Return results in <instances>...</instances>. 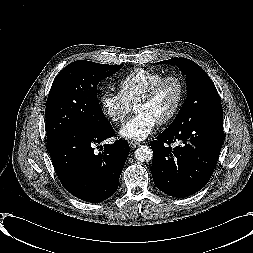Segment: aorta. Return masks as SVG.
<instances>
[{
	"mask_svg": "<svg viewBox=\"0 0 253 253\" xmlns=\"http://www.w3.org/2000/svg\"><path fill=\"white\" fill-rule=\"evenodd\" d=\"M134 153L135 158L141 162H149L153 157L152 149L146 145L139 146V148L136 149Z\"/></svg>",
	"mask_w": 253,
	"mask_h": 253,
	"instance_id": "762f6f07",
	"label": "aorta"
}]
</instances>
